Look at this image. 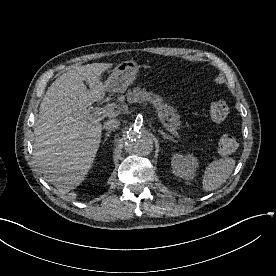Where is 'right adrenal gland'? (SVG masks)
Returning a JSON list of instances; mask_svg holds the SVG:
<instances>
[{"label":"right adrenal gland","instance_id":"2a0ac1e0","mask_svg":"<svg viewBox=\"0 0 276 276\" xmlns=\"http://www.w3.org/2000/svg\"><path fill=\"white\" fill-rule=\"evenodd\" d=\"M110 133H111V131H108L105 133V138H104L103 143H105V141H107V138L110 136Z\"/></svg>","mask_w":276,"mask_h":276}]
</instances>
